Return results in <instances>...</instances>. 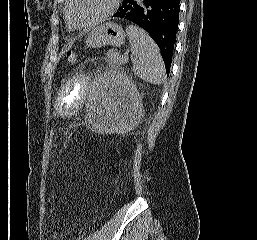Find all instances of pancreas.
Segmentation results:
<instances>
[{
	"label": "pancreas",
	"instance_id": "obj_1",
	"mask_svg": "<svg viewBox=\"0 0 257 240\" xmlns=\"http://www.w3.org/2000/svg\"><path fill=\"white\" fill-rule=\"evenodd\" d=\"M106 58L111 66L120 65L122 63L120 60V53L116 50H109L106 53Z\"/></svg>",
	"mask_w": 257,
	"mask_h": 240
}]
</instances>
